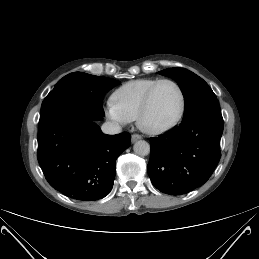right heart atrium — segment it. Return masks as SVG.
I'll use <instances>...</instances> for the list:
<instances>
[{
    "instance_id": "d8ad5b80",
    "label": "right heart atrium",
    "mask_w": 259,
    "mask_h": 259,
    "mask_svg": "<svg viewBox=\"0 0 259 259\" xmlns=\"http://www.w3.org/2000/svg\"><path fill=\"white\" fill-rule=\"evenodd\" d=\"M107 117L113 122L125 124L129 120L122 114L113 100H108L105 107Z\"/></svg>"
}]
</instances>
